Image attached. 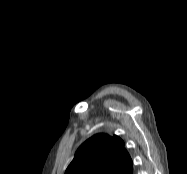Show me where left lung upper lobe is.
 Masks as SVG:
<instances>
[{
	"label": "left lung upper lobe",
	"mask_w": 187,
	"mask_h": 174,
	"mask_svg": "<svg viewBox=\"0 0 187 174\" xmlns=\"http://www.w3.org/2000/svg\"><path fill=\"white\" fill-rule=\"evenodd\" d=\"M132 166L119 137L97 134L78 148L65 174H132Z\"/></svg>",
	"instance_id": "1"
}]
</instances>
